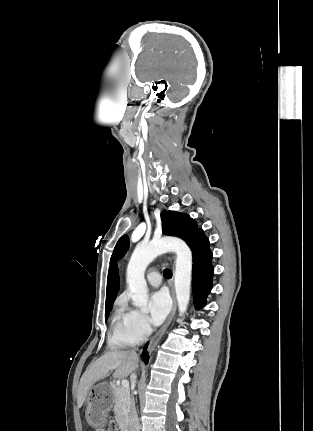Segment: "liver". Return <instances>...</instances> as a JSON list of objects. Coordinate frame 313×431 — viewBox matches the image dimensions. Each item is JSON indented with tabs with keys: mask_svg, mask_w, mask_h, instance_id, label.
<instances>
[{
	"mask_svg": "<svg viewBox=\"0 0 313 431\" xmlns=\"http://www.w3.org/2000/svg\"><path fill=\"white\" fill-rule=\"evenodd\" d=\"M138 365L139 357L133 351L113 350L106 352L92 363L82 375L77 391L78 408L82 407L91 386L106 378L110 371L114 370V378L125 379L138 368Z\"/></svg>",
	"mask_w": 313,
	"mask_h": 431,
	"instance_id": "liver-1",
	"label": "liver"
}]
</instances>
